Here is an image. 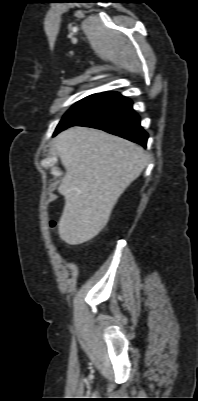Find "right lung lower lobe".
<instances>
[{
  "instance_id": "98d812e1",
  "label": "right lung lower lobe",
  "mask_w": 198,
  "mask_h": 401,
  "mask_svg": "<svg viewBox=\"0 0 198 401\" xmlns=\"http://www.w3.org/2000/svg\"><path fill=\"white\" fill-rule=\"evenodd\" d=\"M76 125L104 130L146 147L148 134L140 126L131 102L119 93L108 94L102 105Z\"/></svg>"
}]
</instances>
